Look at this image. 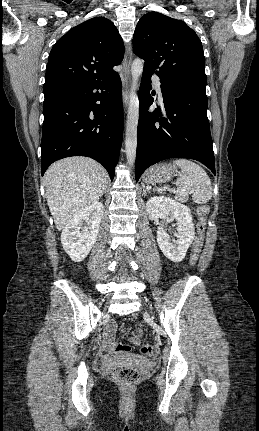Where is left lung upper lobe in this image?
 Instances as JSON below:
<instances>
[{"instance_id":"1","label":"left lung upper lobe","mask_w":259,"mask_h":431,"mask_svg":"<svg viewBox=\"0 0 259 431\" xmlns=\"http://www.w3.org/2000/svg\"><path fill=\"white\" fill-rule=\"evenodd\" d=\"M133 51L144 59V70L155 72L164 83L205 92L202 43L183 21L158 12L145 14L134 32Z\"/></svg>"}]
</instances>
